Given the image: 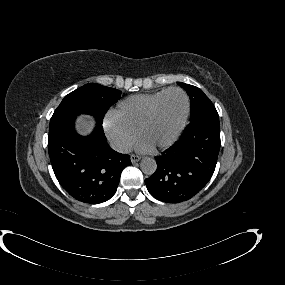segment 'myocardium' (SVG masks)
<instances>
[{
    "instance_id": "f54148a6",
    "label": "myocardium",
    "mask_w": 285,
    "mask_h": 285,
    "mask_svg": "<svg viewBox=\"0 0 285 285\" xmlns=\"http://www.w3.org/2000/svg\"><path fill=\"white\" fill-rule=\"evenodd\" d=\"M180 92L183 94V96L185 97V101H186V109H185V113H184V116L180 122V125L178 127V130L176 132V134L174 135V137L164 143V144H161L159 146H157L155 149L156 150H162V149H167L169 147H171L172 145H174L178 139L180 138L184 128H185V125H186V122L188 120V117H189V113H190V98L188 96V94L181 88H178V87H171V88H168L159 98L158 100L154 103V105L152 106L148 116L145 118V120L142 122V124L140 125L139 129H138V136L141 138L142 136V133L144 132V130L151 124V122L154 120V118L156 117L157 115V112L159 110V107L161 105V103L163 102L164 98L171 92Z\"/></svg>"
}]
</instances>
